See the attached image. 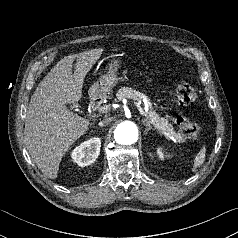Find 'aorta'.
Returning a JSON list of instances; mask_svg holds the SVG:
<instances>
[{"label":"aorta","mask_w":238,"mask_h":238,"mask_svg":"<svg viewBox=\"0 0 238 238\" xmlns=\"http://www.w3.org/2000/svg\"><path fill=\"white\" fill-rule=\"evenodd\" d=\"M114 138L120 144L130 145L138 139V128L132 121H124L120 123L115 131Z\"/></svg>","instance_id":"aorta-1"}]
</instances>
